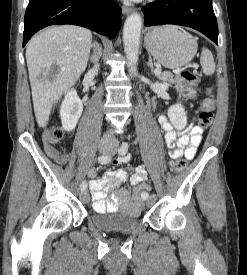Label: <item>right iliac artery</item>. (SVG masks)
I'll use <instances>...</instances> for the list:
<instances>
[{
  "mask_svg": "<svg viewBox=\"0 0 247 275\" xmlns=\"http://www.w3.org/2000/svg\"><path fill=\"white\" fill-rule=\"evenodd\" d=\"M111 157L108 156V155H102V156H99L98 157V161L101 163V164H106L110 161ZM87 188V182L86 181H83L80 185V189L81 191L83 190H86Z\"/></svg>",
  "mask_w": 247,
  "mask_h": 275,
  "instance_id": "right-iliac-artery-1",
  "label": "right iliac artery"
}]
</instances>
